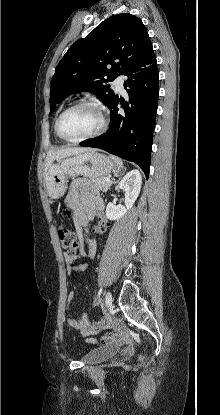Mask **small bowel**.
Returning <instances> with one entry per match:
<instances>
[{
    "label": "small bowel",
    "mask_w": 220,
    "mask_h": 415,
    "mask_svg": "<svg viewBox=\"0 0 220 415\" xmlns=\"http://www.w3.org/2000/svg\"><path fill=\"white\" fill-rule=\"evenodd\" d=\"M69 202L82 259L76 269L82 271L87 267L86 260L95 255L96 236L105 232L107 228V221L103 215L105 205L93 183L83 179L72 184ZM74 298L75 293H70L68 302L72 303ZM66 323L68 327L78 331L88 344L111 346L116 343V338L111 335L103 336L99 340L95 338L101 330L111 327L108 319L96 323L82 313L78 318L68 316Z\"/></svg>",
    "instance_id": "c3829d8e"
}]
</instances>
